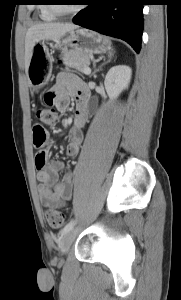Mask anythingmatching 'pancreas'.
Wrapping results in <instances>:
<instances>
[{
	"instance_id": "1",
	"label": "pancreas",
	"mask_w": 181,
	"mask_h": 300,
	"mask_svg": "<svg viewBox=\"0 0 181 300\" xmlns=\"http://www.w3.org/2000/svg\"><path fill=\"white\" fill-rule=\"evenodd\" d=\"M62 61L67 67L83 73L84 68L89 67L90 57L79 51L69 50L63 52Z\"/></svg>"
}]
</instances>
